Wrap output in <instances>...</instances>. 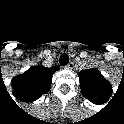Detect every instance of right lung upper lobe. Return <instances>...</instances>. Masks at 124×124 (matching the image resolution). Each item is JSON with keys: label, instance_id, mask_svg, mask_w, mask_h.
<instances>
[{"label": "right lung upper lobe", "instance_id": "cb5924a9", "mask_svg": "<svg viewBox=\"0 0 124 124\" xmlns=\"http://www.w3.org/2000/svg\"><path fill=\"white\" fill-rule=\"evenodd\" d=\"M58 69V66L50 68L42 65L32 66L25 73L14 78L13 86H15L25 101H34L41 94L49 91L52 75Z\"/></svg>", "mask_w": 124, "mask_h": 124}]
</instances>
